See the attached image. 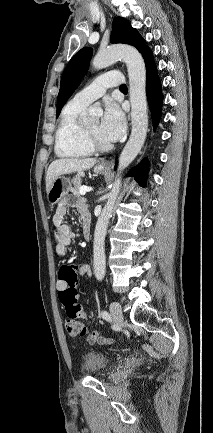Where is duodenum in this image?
Returning a JSON list of instances; mask_svg holds the SVG:
<instances>
[{"label":"duodenum","mask_w":213,"mask_h":433,"mask_svg":"<svg viewBox=\"0 0 213 433\" xmlns=\"http://www.w3.org/2000/svg\"><path fill=\"white\" fill-rule=\"evenodd\" d=\"M83 234H84V237L87 239V240H89L90 238H91V231H90V226H84V228H83Z\"/></svg>","instance_id":"duodenum-1"}]
</instances>
